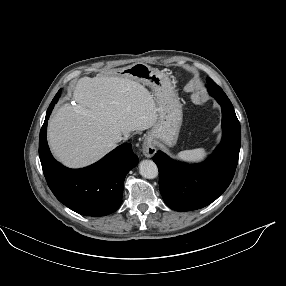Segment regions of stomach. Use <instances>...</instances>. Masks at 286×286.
Returning a JSON list of instances; mask_svg holds the SVG:
<instances>
[{
	"label": "stomach",
	"instance_id": "obj_1",
	"mask_svg": "<svg viewBox=\"0 0 286 286\" xmlns=\"http://www.w3.org/2000/svg\"><path fill=\"white\" fill-rule=\"evenodd\" d=\"M121 76L151 88L158 118L146 140L174 146L182 123V106L168 75L145 63H134L121 69Z\"/></svg>",
	"mask_w": 286,
	"mask_h": 286
}]
</instances>
